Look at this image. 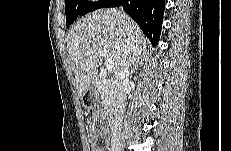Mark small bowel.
I'll return each instance as SVG.
<instances>
[{
  "instance_id": "c3829d8e",
  "label": "small bowel",
  "mask_w": 231,
  "mask_h": 151,
  "mask_svg": "<svg viewBox=\"0 0 231 151\" xmlns=\"http://www.w3.org/2000/svg\"><path fill=\"white\" fill-rule=\"evenodd\" d=\"M98 119H99V114L95 113L91 116V118L88 121L87 128L89 133L90 151H106L99 145L101 131L96 126V122ZM103 136L106 140H108L107 132H105Z\"/></svg>"
}]
</instances>
